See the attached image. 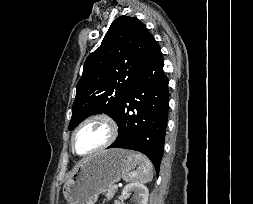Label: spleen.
Instances as JSON below:
<instances>
[{
    "instance_id": "spleen-1",
    "label": "spleen",
    "mask_w": 253,
    "mask_h": 204,
    "mask_svg": "<svg viewBox=\"0 0 253 204\" xmlns=\"http://www.w3.org/2000/svg\"><path fill=\"white\" fill-rule=\"evenodd\" d=\"M137 158V169L131 171L123 176L126 182H142L147 183L153 179V167L150 160L144 155L138 153Z\"/></svg>"
}]
</instances>
